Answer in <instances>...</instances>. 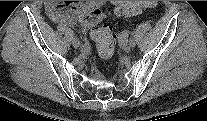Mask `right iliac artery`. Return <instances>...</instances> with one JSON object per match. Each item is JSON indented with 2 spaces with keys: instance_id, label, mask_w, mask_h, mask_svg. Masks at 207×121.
I'll return each instance as SVG.
<instances>
[{
  "instance_id": "1",
  "label": "right iliac artery",
  "mask_w": 207,
  "mask_h": 121,
  "mask_svg": "<svg viewBox=\"0 0 207 121\" xmlns=\"http://www.w3.org/2000/svg\"><path fill=\"white\" fill-rule=\"evenodd\" d=\"M89 47V43L88 42H85L82 46V50L86 51Z\"/></svg>"
}]
</instances>
